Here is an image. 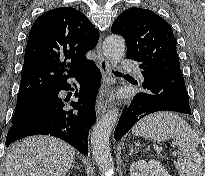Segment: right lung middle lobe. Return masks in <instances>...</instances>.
<instances>
[{"label": "right lung middle lobe", "instance_id": "right-lung-middle-lobe-1", "mask_svg": "<svg viewBox=\"0 0 205 176\" xmlns=\"http://www.w3.org/2000/svg\"><path fill=\"white\" fill-rule=\"evenodd\" d=\"M51 91L52 90L37 93L29 97L17 99L18 102L16 105L14 116L12 118V123L20 119L33 105L45 98Z\"/></svg>", "mask_w": 205, "mask_h": 176}]
</instances>
